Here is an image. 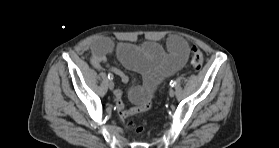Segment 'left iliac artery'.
Listing matches in <instances>:
<instances>
[{"mask_svg":"<svg viewBox=\"0 0 279 148\" xmlns=\"http://www.w3.org/2000/svg\"><path fill=\"white\" fill-rule=\"evenodd\" d=\"M176 85V82L174 81V80H172L171 82H170V86L171 87H174Z\"/></svg>","mask_w":279,"mask_h":148,"instance_id":"obj_1","label":"left iliac artery"}]
</instances>
